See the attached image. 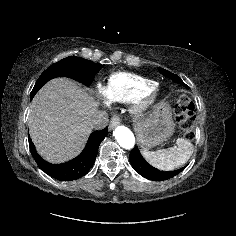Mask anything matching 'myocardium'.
<instances>
[{
    "label": "myocardium",
    "mask_w": 236,
    "mask_h": 236,
    "mask_svg": "<svg viewBox=\"0 0 236 236\" xmlns=\"http://www.w3.org/2000/svg\"><path fill=\"white\" fill-rule=\"evenodd\" d=\"M157 97L158 90L156 87H153L145 92L143 96L134 101L132 106V114L135 117H142Z\"/></svg>",
    "instance_id": "1"
}]
</instances>
